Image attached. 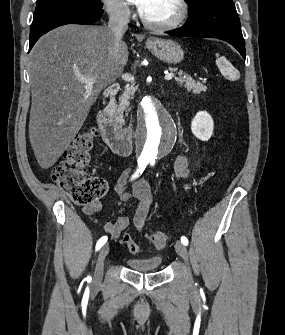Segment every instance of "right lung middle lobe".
Segmentation results:
<instances>
[{"mask_svg": "<svg viewBox=\"0 0 285 335\" xmlns=\"http://www.w3.org/2000/svg\"><path fill=\"white\" fill-rule=\"evenodd\" d=\"M56 6H73L100 10L102 3L100 0H37L34 14L41 13Z\"/></svg>", "mask_w": 285, "mask_h": 335, "instance_id": "obj_1", "label": "right lung middle lobe"}]
</instances>
